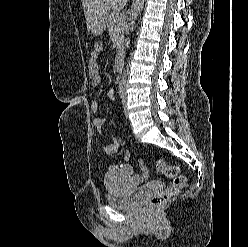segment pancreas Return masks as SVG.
I'll list each match as a JSON object with an SVG mask.
<instances>
[{"mask_svg": "<svg viewBox=\"0 0 248 247\" xmlns=\"http://www.w3.org/2000/svg\"><path fill=\"white\" fill-rule=\"evenodd\" d=\"M106 18L109 35L116 45L117 52L120 53L124 48L125 19L113 12L107 13Z\"/></svg>", "mask_w": 248, "mask_h": 247, "instance_id": "obj_1", "label": "pancreas"}]
</instances>
